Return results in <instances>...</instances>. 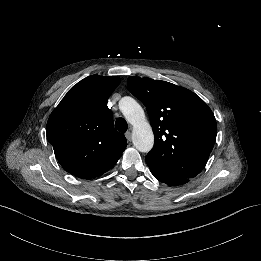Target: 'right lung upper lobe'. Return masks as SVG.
<instances>
[{
    "instance_id": "1",
    "label": "right lung upper lobe",
    "mask_w": 261,
    "mask_h": 261,
    "mask_svg": "<svg viewBox=\"0 0 261 261\" xmlns=\"http://www.w3.org/2000/svg\"><path fill=\"white\" fill-rule=\"evenodd\" d=\"M118 77L89 76L77 83L51 113L46 126L49 143L70 174L90 179L112 168L127 146L113 127L109 96Z\"/></svg>"
}]
</instances>
